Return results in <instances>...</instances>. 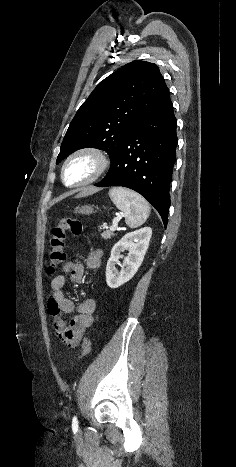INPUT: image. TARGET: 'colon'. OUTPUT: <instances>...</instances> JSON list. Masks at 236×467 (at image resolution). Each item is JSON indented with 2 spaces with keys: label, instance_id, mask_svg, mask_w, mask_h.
Masks as SVG:
<instances>
[{
  "label": "colon",
  "instance_id": "colon-1",
  "mask_svg": "<svg viewBox=\"0 0 236 467\" xmlns=\"http://www.w3.org/2000/svg\"><path fill=\"white\" fill-rule=\"evenodd\" d=\"M83 225L79 219L65 218L52 228L49 248L48 273L54 274L57 268L64 262L66 254L64 251L65 239L68 233L79 235ZM91 350V343L88 338L83 339L82 351L79 358L85 357Z\"/></svg>",
  "mask_w": 236,
  "mask_h": 467
}]
</instances>
